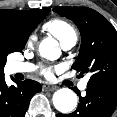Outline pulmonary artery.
I'll return each instance as SVG.
<instances>
[{"instance_id": "obj_1", "label": "pulmonary artery", "mask_w": 117, "mask_h": 117, "mask_svg": "<svg viewBox=\"0 0 117 117\" xmlns=\"http://www.w3.org/2000/svg\"><path fill=\"white\" fill-rule=\"evenodd\" d=\"M77 43V37L73 36L63 42H61V47L64 50H70L73 48ZM34 69V66L28 63H20V62H12L11 63V71L12 73H27L31 72ZM88 78L82 80L79 84L80 90H85L87 87Z\"/></svg>"}]
</instances>
